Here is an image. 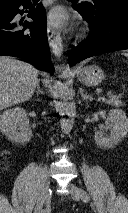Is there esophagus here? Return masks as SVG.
I'll return each mask as SVG.
<instances>
[{
	"instance_id": "esophagus-1",
	"label": "esophagus",
	"mask_w": 128,
	"mask_h": 213,
	"mask_svg": "<svg viewBox=\"0 0 128 213\" xmlns=\"http://www.w3.org/2000/svg\"><path fill=\"white\" fill-rule=\"evenodd\" d=\"M47 37L49 41V45L57 58H60L63 53V46L61 42L60 36L56 33V31L48 26L47 27Z\"/></svg>"
}]
</instances>
